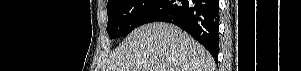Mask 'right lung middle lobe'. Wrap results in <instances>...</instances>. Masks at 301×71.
Masks as SVG:
<instances>
[{"instance_id": "obj_1", "label": "right lung middle lobe", "mask_w": 301, "mask_h": 71, "mask_svg": "<svg viewBox=\"0 0 301 71\" xmlns=\"http://www.w3.org/2000/svg\"><path fill=\"white\" fill-rule=\"evenodd\" d=\"M158 0H108L107 33L111 39L127 36Z\"/></svg>"}]
</instances>
